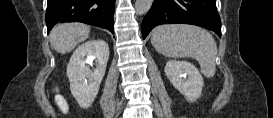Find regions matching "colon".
Instances as JSON below:
<instances>
[{
	"instance_id": "obj_1",
	"label": "colon",
	"mask_w": 273,
	"mask_h": 118,
	"mask_svg": "<svg viewBox=\"0 0 273 118\" xmlns=\"http://www.w3.org/2000/svg\"><path fill=\"white\" fill-rule=\"evenodd\" d=\"M55 100H56V103L58 104L59 108L62 111H66L67 104H66L65 99L63 97H61V96H57Z\"/></svg>"
}]
</instances>
